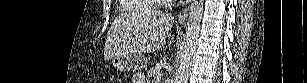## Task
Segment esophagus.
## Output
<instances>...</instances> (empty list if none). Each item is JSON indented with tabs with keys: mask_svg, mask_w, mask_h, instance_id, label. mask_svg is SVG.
I'll list each match as a JSON object with an SVG mask.
<instances>
[{
	"mask_svg": "<svg viewBox=\"0 0 307 83\" xmlns=\"http://www.w3.org/2000/svg\"><path fill=\"white\" fill-rule=\"evenodd\" d=\"M190 2H191V0H186L183 3L182 9H181L179 16H178V26L179 27H184L185 24H186Z\"/></svg>",
	"mask_w": 307,
	"mask_h": 83,
	"instance_id": "obj_1",
	"label": "esophagus"
}]
</instances>
